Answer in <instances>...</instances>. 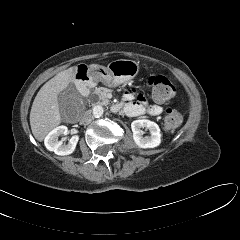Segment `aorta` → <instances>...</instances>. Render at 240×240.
<instances>
[{
    "label": "aorta",
    "instance_id": "762f6f07",
    "mask_svg": "<svg viewBox=\"0 0 240 240\" xmlns=\"http://www.w3.org/2000/svg\"><path fill=\"white\" fill-rule=\"evenodd\" d=\"M103 112H104V109L100 105H96L92 109V113L96 118L101 117L103 115Z\"/></svg>",
    "mask_w": 240,
    "mask_h": 240
}]
</instances>
